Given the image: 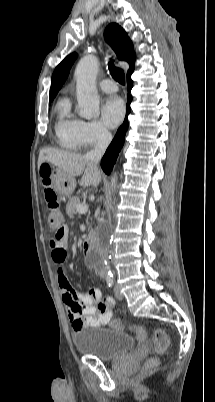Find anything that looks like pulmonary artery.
Masks as SVG:
<instances>
[{
	"label": "pulmonary artery",
	"instance_id": "pulmonary-artery-1",
	"mask_svg": "<svg viewBox=\"0 0 215 402\" xmlns=\"http://www.w3.org/2000/svg\"><path fill=\"white\" fill-rule=\"evenodd\" d=\"M100 88L107 93H114L118 90L117 85L110 79H104L99 82Z\"/></svg>",
	"mask_w": 215,
	"mask_h": 402
}]
</instances>
